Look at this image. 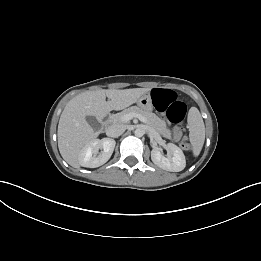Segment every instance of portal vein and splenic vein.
<instances>
[{
  "label": "portal vein and splenic vein",
  "mask_w": 261,
  "mask_h": 261,
  "mask_svg": "<svg viewBox=\"0 0 261 261\" xmlns=\"http://www.w3.org/2000/svg\"><path fill=\"white\" fill-rule=\"evenodd\" d=\"M133 118H138L140 121L146 123V120L143 116H141L139 114H135V113L125 114L124 116H122L121 119L124 122H128L129 120H131Z\"/></svg>",
  "instance_id": "1"
}]
</instances>
